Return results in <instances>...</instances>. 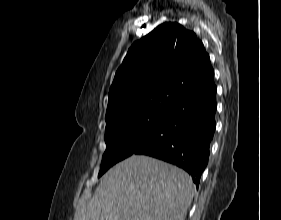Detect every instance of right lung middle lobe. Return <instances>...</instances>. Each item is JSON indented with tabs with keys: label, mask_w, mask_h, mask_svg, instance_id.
Wrapping results in <instances>:
<instances>
[{
	"label": "right lung middle lobe",
	"mask_w": 281,
	"mask_h": 220,
	"mask_svg": "<svg viewBox=\"0 0 281 220\" xmlns=\"http://www.w3.org/2000/svg\"><path fill=\"white\" fill-rule=\"evenodd\" d=\"M167 115V112L131 114L107 124L106 151L98 177L146 143L162 126Z\"/></svg>",
	"instance_id": "1"
}]
</instances>
